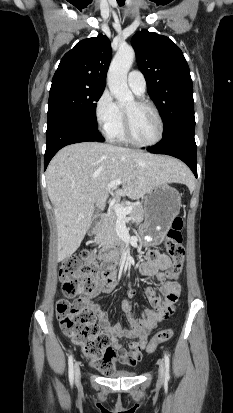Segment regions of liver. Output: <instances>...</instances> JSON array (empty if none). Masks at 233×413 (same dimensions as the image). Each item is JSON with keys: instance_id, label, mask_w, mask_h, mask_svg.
Returning <instances> with one entry per match:
<instances>
[{"instance_id": "obj_1", "label": "liver", "mask_w": 233, "mask_h": 413, "mask_svg": "<svg viewBox=\"0 0 233 413\" xmlns=\"http://www.w3.org/2000/svg\"><path fill=\"white\" fill-rule=\"evenodd\" d=\"M188 174L176 159L110 144L81 142L61 149L46 171L57 226V260L79 248L95 206L103 209L109 194L143 198L158 185L183 182ZM118 179L122 188L106 191Z\"/></svg>"}]
</instances>
